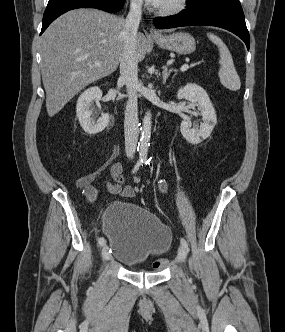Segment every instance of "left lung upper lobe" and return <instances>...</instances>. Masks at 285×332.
Segmentation results:
<instances>
[{"mask_svg":"<svg viewBox=\"0 0 285 332\" xmlns=\"http://www.w3.org/2000/svg\"><path fill=\"white\" fill-rule=\"evenodd\" d=\"M200 1H203V0H187L186 4L187 5H192V4L198 3Z\"/></svg>","mask_w":285,"mask_h":332,"instance_id":"obj_1","label":"left lung upper lobe"}]
</instances>
